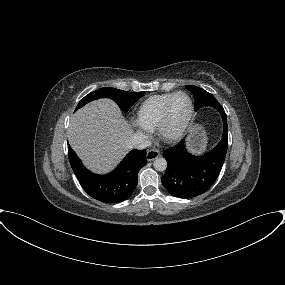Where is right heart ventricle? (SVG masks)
I'll list each match as a JSON object with an SVG mask.
<instances>
[{"label": "right heart ventricle", "mask_w": 285, "mask_h": 285, "mask_svg": "<svg viewBox=\"0 0 285 285\" xmlns=\"http://www.w3.org/2000/svg\"><path fill=\"white\" fill-rule=\"evenodd\" d=\"M173 94L174 92L158 94L143 100L136 111L137 123L147 130L156 129L160 122L163 108Z\"/></svg>", "instance_id": "e07e8e85"}]
</instances>
